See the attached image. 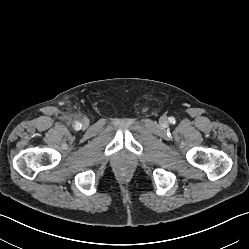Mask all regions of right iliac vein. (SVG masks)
Listing matches in <instances>:
<instances>
[{
    "label": "right iliac vein",
    "mask_w": 249,
    "mask_h": 249,
    "mask_svg": "<svg viewBox=\"0 0 249 249\" xmlns=\"http://www.w3.org/2000/svg\"><path fill=\"white\" fill-rule=\"evenodd\" d=\"M89 125V120L88 119H83L82 120V126L87 127Z\"/></svg>",
    "instance_id": "obj_1"
}]
</instances>
